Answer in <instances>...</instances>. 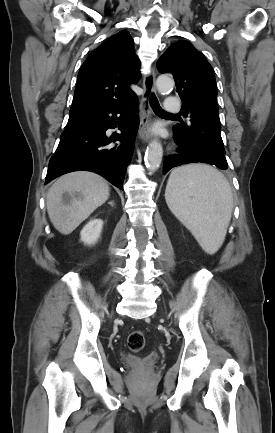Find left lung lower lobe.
<instances>
[{"instance_id":"1","label":"left lung lower lobe","mask_w":275,"mask_h":433,"mask_svg":"<svg viewBox=\"0 0 275 433\" xmlns=\"http://www.w3.org/2000/svg\"><path fill=\"white\" fill-rule=\"evenodd\" d=\"M175 141L179 144L178 155H170L166 158L163 167V173H167L171 168L177 167L183 164L197 163L199 161L195 160L193 157L189 156L184 149L183 145L174 136Z\"/></svg>"}]
</instances>
